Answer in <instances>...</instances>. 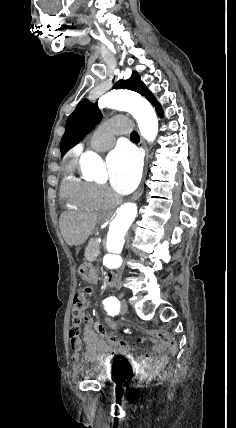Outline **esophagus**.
<instances>
[{
	"mask_svg": "<svg viewBox=\"0 0 236 428\" xmlns=\"http://www.w3.org/2000/svg\"><path fill=\"white\" fill-rule=\"evenodd\" d=\"M140 144H141V146H143L144 147V149H145V151H146V157H145V172H144V176H143V180H142V182H141V185H140V187L138 188V190L134 193V195H133V199H137V198H139L141 195H142V193H143V191H144V181H145V178H146V175H147V167H148V149H147V146H146V144H145V142H144V140H143V138L140 136Z\"/></svg>",
	"mask_w": 236,
	"mask_h": 428,
	"instance_id": "1",
	"label": "esophagus"
}]
</instances>
